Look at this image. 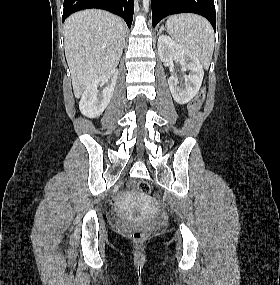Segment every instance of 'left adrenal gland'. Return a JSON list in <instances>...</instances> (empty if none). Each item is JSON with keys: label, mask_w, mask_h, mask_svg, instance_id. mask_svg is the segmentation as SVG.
Returning <instances> with one entry per match:
<instances>
[{"label": "left adrenal gland", "mask_w": 280, "mask_h": 285, "mask_svg": "<svg viewBox=\"0 0 280 285\" xmlns=\"http://www.w3.org/2000/svg\"><path fill=\"white\" fill-rule=\"evenodd\" d=\"M164 30V26L162 25L161 28L159 29L158 35Z\"/></svg>", "instance_id": "a2214340"}]
</instances>
